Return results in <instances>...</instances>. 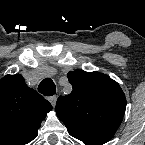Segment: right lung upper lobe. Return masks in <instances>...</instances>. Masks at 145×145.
I'll return each instance as SVG.
<instances>
[{"label":"right lung upper lobe","instance_id":"obj_1","mask_svg":"<svg viewBox=\"0 0 145 145\" xmlns=\"http://www.w3.org/2000/svg\"><path fill=\"white\" fill-rule=\"evenodd\" d=\"M51 104L22 75L0 80V145H26L36 138Z\"/></svg>","mask_w":145,"mask_h":145}]
</instances>
